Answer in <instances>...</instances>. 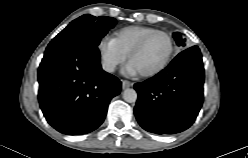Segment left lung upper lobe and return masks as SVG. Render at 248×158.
I'll return each mask as SVG.
<instances>
[{
	"mask_svg": "<svg viewBox=\"0 0 248 158\" xmlns=\"http://www.w3.org/2000/svg\"><path fill=\"white\" fill-rule=\"evenodd\" d=\"M173 37L176 40V44L178 46H182V47L185 46V39L182 37V35L180 33H178V32L174 33Z\"/></svg>",
	"mask_w": 248,
	"mask_h": 158,
	"instance_id": "5c2ea615",
	"label": "left lung upper lobe"
}]
</instances>
